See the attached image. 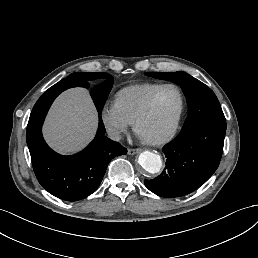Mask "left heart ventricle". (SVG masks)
Here are the masks:
<instances>
[{
  "label": "left heart ventricle",
  "mask_w": 258,
  "mask_h": 258,
  "mask_svg": "<svg viewBox=\"0 0 258 258\" xmlns=\"http://www.w3.org/2000/svg\"><path fill=\"white\" fill-rule=\"evenodd\" d=\"M179 109L178 95L175 90L165 88L154 97L147 116L141 121V134L159 138L168 134L176 121Z\"/></svg>",
  "instance_id": "1"
}]
</instances>
